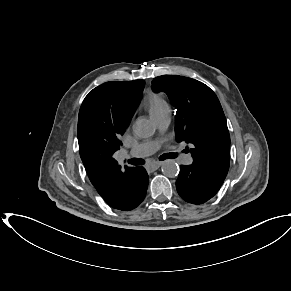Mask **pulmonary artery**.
I'll list each match as a JSON object with an SVG mask.
<instances>
[{
  "label": "pulmonary artery",
  "instance_id": "1",
  "mask_svg": "<svg viewBox=\"0 0 291 291\" xmlns=\"http://www.w3.org/2000/svg\"><path fill=\"white\" fill-rule=\"evenodd\" d=\"M154 120L155 124L157 125L158 129L160 131H165L170 123V111H164L160 114L151 116ZM160 147V143L158 141H147L142 142L135 147H133L128 154H126L129 158H143L147 157L154 152H156ZM182 162L184 164H191L192 163V157L191 155H184L182 157Z\"/></svg>",
  "mask_w": 291,
  "mask_h": 291
}]
</instances>
